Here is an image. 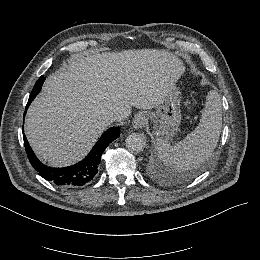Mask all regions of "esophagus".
<instances>
[{
  "label": "esophagus",
  "instance_id": "34e87169",
  "mask_svg": "<svg viewBox=\"0 0 260 260\" xmlns=\"http://www.w3.org/2000/svg\"><path fill=\"white\" fill-rule=\"evenodd\" d=\"M148 117L145 113H137L133 120V126L136 129L142 128L147 123Z\"/></svg>",
  "mask_w": 260,
  "mask_h": 260
}]
</instances>
